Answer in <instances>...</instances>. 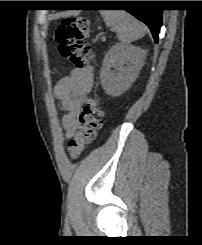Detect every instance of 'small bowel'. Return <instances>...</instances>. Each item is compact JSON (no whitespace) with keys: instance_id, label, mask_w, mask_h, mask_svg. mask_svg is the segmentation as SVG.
<instances>
[{"instance_id":"obj_1","label":"small bowel","mask_w":202,"mask_h":245,"mask_svg":"<svg viewBox=\"0 0 202 245\" xmlns=\"http://www.w3.org/2000/svg\"><path fill=\"white\" fill-rule=\"evenodd\" d=\"M93 84L91 68H75L61 78L55 86V94L65 111L63 129L65 137L71 138L79 124L81 108L89 101Z\"/></svg>"}]
</instances>
